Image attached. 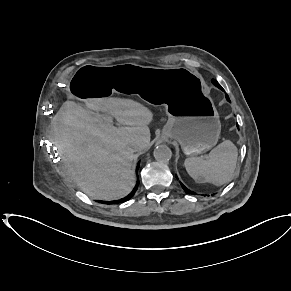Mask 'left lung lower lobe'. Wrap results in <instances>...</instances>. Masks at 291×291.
Segmentation results:
<instances>
[{
    "mask_svg": "<svg viewBox=\"0 0 291 291\" xmlns=\"http://www.w3.org/2000/svg\"><path fill=\"white\" fill-rule=\"evenodd\" d=\"M219 89L223 90L224 89L220 86ZM226 99L230 102L229 100V97L228 95H226ZM181 187L183 188V190L187 193V194H195L193 191H190L186 186H184L182 183H181Z\"/></svg>",
    "mask_w": 291,
    "mask_h": 291,
    "instance_id": "0a47b994",
    "label": "left lung lower lobe"
}]
</instances>
